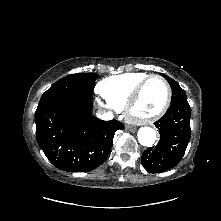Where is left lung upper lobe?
I'll list each match as a JSON object with an SVG mask.
<instances>
[{
    "instance_id": "5c2ea615",
    "label": "left lung upper lobe",
    "mask_w": 221,
    "mask_h": 221,
    "mask_svg": "<svg viewBox=\"0 0 221 221\" xmlns=\"http://www.w3.org/2000/svg\"><path fill=\"white\" fill-rule=\"evenodd\" d=\"M163 77L169 82L171 89H172V99L171 104L178 103V102H187V96L185 91L179 86V84L168 77L167 75L163 74Z\"/></svg>"
}]
</instances>
